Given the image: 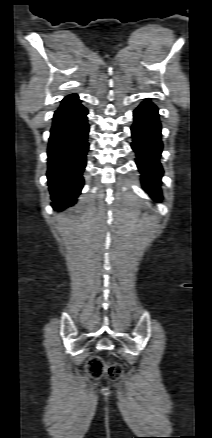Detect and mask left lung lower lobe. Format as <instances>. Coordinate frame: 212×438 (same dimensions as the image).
I'll return each instance as SVG.
<instances>
[{
    "mask_svg": "<svg viewBox=\"0 0 212 438\" xmlns=\"http://www.w3.org/2000/svg\"><path fill=\"white\" fill-rule=\"evenodd\" d=\"M158 109L150 101H144L134 111L131 128L132 149L137 154L136 164L142 173V184L156 201L161 199L160 179L163 170L159 162L162 152L161 125Z\"/></svg>",
    "mask_w": 212,
    "mask_h": 438,
    "instance_id": "left-lung-lower-lobe-1",
    "label": "left lung lower lobe"
}]
</instances>
